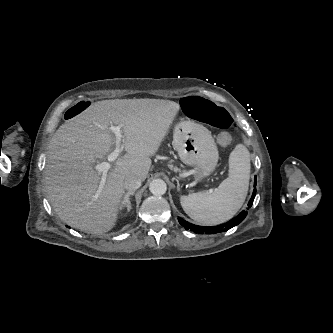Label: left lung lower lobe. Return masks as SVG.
Returning a JSON list of instances; mask_svg holds the SVG:
<instances>
[{"label":"left lung lower lobe","mask_w":333,"mask_h":333,"mask_svg":"<svg viewBox=\"0 0 333 333\" xmlns=\"http://www.w3.org/2000/svg\"><path fill=\"white\" fill-rule=\"evenodd\" d=\"M255 180H256V176H255ZM255 195H256V183H254V190H253L251 199L248 203L249 207L252 206ZM246 215H247V212L243 210L239 215H237L235 218L231 219L230 221H228L224 224H221L219 226H213V227L194 225V224L187 222L186 220H184L181 217H178V221L186 230H189V231H192V232H195L198 234H215V233H220V232H226L229 229H231L232 227L238 225L245 219Z\"/></svg>","instance_id":"obj_1"}]
</instances>
